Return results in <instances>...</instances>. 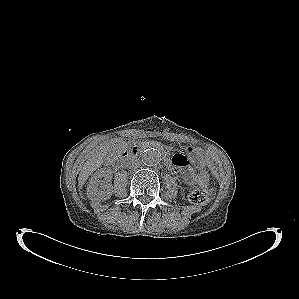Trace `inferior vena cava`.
Here are the masks:
<instances>
[{
	"label": "inferior vena cava",
	"instance_id": "obj_1",
	"mask_svg": "<svg viewBox=\"0 0 299 299\" xmlns=\"http://www.w3.org/2000/svg\"><path fill=\"white\" fill-rule=\"evenodd\" d=\"M140 164H141L140 161L135 160L134 162H132L130 167L133 168V169H136L137 167L140 166Z\"/></svg>",
	"mask_w": 299,
	"mask_h": 299
}]
</instances>
